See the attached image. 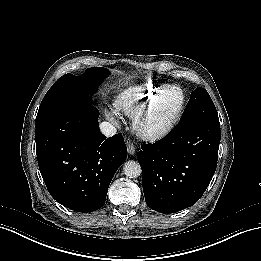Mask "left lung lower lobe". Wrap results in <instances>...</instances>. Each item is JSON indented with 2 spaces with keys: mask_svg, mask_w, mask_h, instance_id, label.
<instances>
[{
  "mask_svg": "<svg viewBox=\"0 0 261 261\" xmlns=\"http://www.w3.org/2000/svg\"><path fill=\"white\" fill-rule=\"evenodd\" d=\"M219 143V119L198 117L180 122L157 143L142 145L137 158L146 204L161 213L194 205L214 175Z\"/></svg>",
  "mask_w": 261,
  "mask_h": 261,
  "instance_id": "0a47b994",
  "label": "left lung lower lobe"
}]
</instances>
